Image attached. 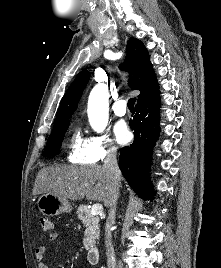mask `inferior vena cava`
Returning a JSON list of instances; mask_svg holds the SVG:
<instances>
[{
    "instance_id": "inferior-vena-cava-1",
    "label": "inferior vena cava",
    "mask_w": 221,
    "mask_h": 268,
    "mask_svg": "<svg viewBox=\"0 0 221 268\" xmlns=\"http://www.w3.org/2000/svg\"><path fill=\"white\" fill-rule=\"evenodd\" d=\"M117 150L110 149L108 151L107 157L104 161V168L111 177L112 184V198L109 204L110 210L107 219V225L105 228V246H106V255H107V267L108 268H117L116 258L114 253V247L112 245V235L111 228L115 222L116 214V204L119 197V188H120V170L118 167L116 159Z\"/></svg>"
}]
</instances>
